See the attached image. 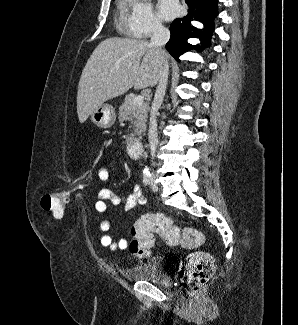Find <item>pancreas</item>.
Instances as JSON below:
<instances>
[{
	"instance_id": "1",
	"label": "pancreas",
	"mask_w": 298,
	"mask_h": 325,
	"mask_svg": "<svg viewBox=\"0 0 298 325\" xmlns=\"http://www.w3.org/2000/svg\"><path fill=\"white\" fill-rule=\"evenodd\" d=\"M133 96H125L124 102L119 106L118 118L119 122L123 120H131L133 124V132H129L126 142L129 144L133 138H141V134L146 130V120L148 116V110L150 108L149 102H143L140 106H134L132 104Z\"/></svg>"
}]
</instances>
